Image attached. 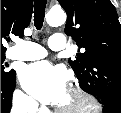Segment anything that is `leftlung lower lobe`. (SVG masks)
Masks as SVG:
<instances>
[{
  "mask_svg": "<svg viewBox=\"0 0 121 113\" xmlns=\"http://www.w3.org/2000/svg\"><path fill=\"white\" fill-rule=\"evenodd\" d=\"M104 113H121V109L105 106Z\"/></svg>",
  "mask_w": 121,
  "mask_h": 113,
  "instance_id": "0a47b994",
  "label": "left lung lower lobe"
}]
</instances>
